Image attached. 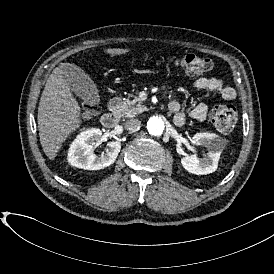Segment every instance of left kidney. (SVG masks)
<instances>
[{"label": "left kidney", "mask_w": 274, "mask_h": 274, "mask_svg": "<svg viewBox=\"0 0 274 274\" xmlns=\"http://www.w3.org/2000/svg\"><path fill=\"white\" fill-rule=\"evenodd\" d=\"M192 143L204 146L207 149L205 158L194 155H186L181 159L185 170L196 175H206L215 172L218 168L220 155L224 149L222 139L215 133H196L192 137Z\"/></svg>", "instance_id": "obj_1"}]
</instances>
